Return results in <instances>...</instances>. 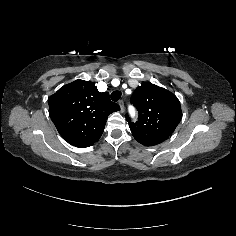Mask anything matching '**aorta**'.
<instances>
[{
	"mask_svg": "<svg viewBox=\"0 0 236 236\" xmlns=\"http://www.w3.org/2000/svg\"><path fill=\"white\" fill-rule=\"evenodd\" d=\"M129 112L131 115L135 114V109L133 107H129Z\"/></svg>",
	"mask_w": 236,
	"mask_h": 236,
	"instance_id": "obj_1",
	"label": "aorta"
}]
</instances>
